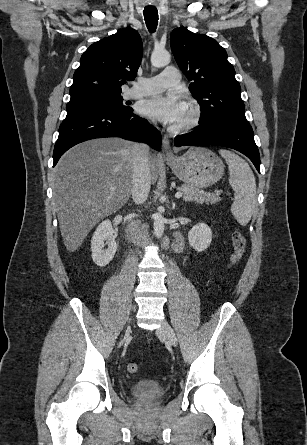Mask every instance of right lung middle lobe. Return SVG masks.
I'll return each mask as SVG.
<instances>
[{
    "label": "right lung middle lobe",
    "instance_id": "obj_1",
    "mask_svg": "<svg viewBox=\"0 0 307 445\" xmlns=\"http://www.w3.org/2000/svg\"><path fill=\"white\" fill-rule=\"evenodd\" d=\"M122 101L123 99L120 94L87 96V97L70 99V101L66 106V109L67 111H70L79 108L103 107V108H116V109H123L126 111H132V108L124 105Z\"/></svg>",
    "mask_w": 307,
    "mask_h": 445
}]
</instances>
